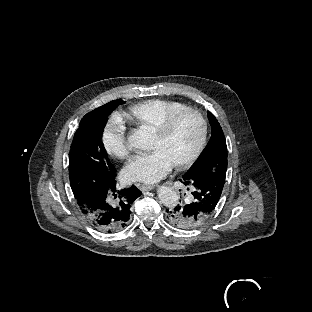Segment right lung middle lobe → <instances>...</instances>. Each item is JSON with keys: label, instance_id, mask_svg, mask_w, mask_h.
<instances>
[{"label": "right lung middle lobe", "instance_id": "obj_1", "mask_svg": "<svg viewBox=\"0 0 312 312\" xmlns=\"http://www.w3.org/2000/svg\"><path fill=\"white\" fill-rule=\"evenodd\" d=\"M116 107L104 114L92 111L79 123L69 153V177L74 196L81 190L116 177V169L109 161L101 141L106 116Z\"/></svg>", "mask_w": 312, "mask_h": 312}]
</instances>
